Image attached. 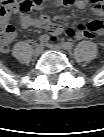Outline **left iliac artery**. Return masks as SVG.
Wrapping results in <instances>:
<instances>
[{"mask_svg": "<svg viewBox=\"0 0 104 137\" xmlns=\"http://www.w3.org/2000/svg\"><path fill=\"white\" fill-rule=\"evenodd\" d=\"M72 47V44L71 43H65V48L66 49H70Z\"/></svg>", "mask_w": 104, "mask_h": 137, "instance_id": "44dca946", "label": "left iliac artery"}]
</instances>
